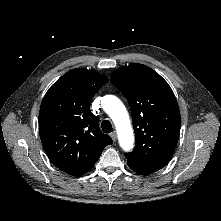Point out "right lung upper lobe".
Listing matches in <instances>:
<instances>
[{
	"label": "right lung upper lobe",
	"instance_id": "right-lung-upper-lobe-1",
	"mask_svg": "<svg viewBox=\"0 0 221 221\" xmlns=\"http://www.w3.org/2000/svg\"><path fill=\"white\" fill-rule=\"evenodd\" d=\"M108 78L76 68L59 78L45 94L39 112L42 145L53 164L70 175L87 173L112 139L101 132L90 103Z\"/></svg>",
	"mask_w": 221,
	"mask_h": 221
}]
</instances>
